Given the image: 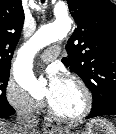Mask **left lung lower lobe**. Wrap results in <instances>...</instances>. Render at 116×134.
I'll list each match as a JSON object with an SVG mask.
<instances>
[{
	"label": "left lung lower lobe",
	"mask_w": 116,
	"mask_h": 134,
	"mask_svg": "<svg viewBox=\"0 0 116 134\" xmlns=\"http://www.w3.org/2000/svg\"><path fill=\"white\" fill-rule=\"evenodd\" d=\"M105 115H116V104L114 105L108 104L105 106H96V107L92 106V110L87 119Z\"/></svg>",
	"instance_id": "0a47b994"
}]
</instances>
